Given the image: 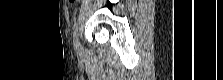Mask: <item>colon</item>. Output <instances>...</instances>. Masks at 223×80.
<instances>
[{
  "label": "colon",
  "mask_w": 223,
  "mask_h": 80,
  "mask_svg": "<svg viewBox=\"0 0 223 80\" xmlns=\"http://www.w3.org/2000/svg\"><path fill=\"white\" fill-rule=\"evenodd\" d=\"M70 3H76L77 0H69Z\"/></svg>",
  "instance_id": "colon-1"
}]
</instances>
